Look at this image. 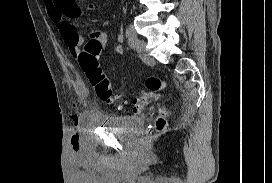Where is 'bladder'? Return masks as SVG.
<instances>
[{
	"label": "bladder",
	"mask_w": 272,
	"mask_h": 183,
	"mask_svg": "<svg viewBox=\"0 0 272 183\" xmlns=\"http://www.w3.org/2000/svg\"><path fill=\"white\" fill-rule=\"evenodd\" d=\"M100 122L105 127L127 133H136L143 125V119L141 117L130 115L105 116L101 118Z\"/></svg>",
	"instance_id": "bladder-1"
}]
</instances>
